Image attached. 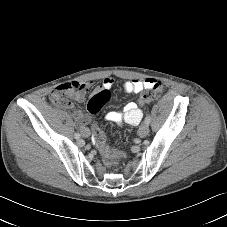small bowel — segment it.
<instances>
[{"mask_svg":"<svg viewBox=\"0 0 227 227\" xmlns=\"http://www.w3.org/2000/svg\"><path fill=\"white\" fill-rule=\"evenodd\" d=\"M152 80L153 79H146V80L142 81V80L134 79V80L125 81L123 84V90L129 94L130 93H135V94L139 93L144 89H148L151 86ZM72 84L76 85L77 88L75 90L67 91L64 96H62L60 98H55V93L57 92V90L59 88H61L63 86H67V85H72ZM113 84H114V80L112 78H105L103 80L102 86L99 89V91H101L103 89L108 90L113 86ZM91 86H92L91 82L67 83V84L57 87L55 90L52 91V93L50 95L52 101L57 106H59L63 109L73 110L74 118L77 120V122L80 126V130L83 135L86 130L89 131V129L86 127V124L89 121V117L84 115L82 113V111H80L79 109H76L74 103L71 102L65 96L71 97L79 102L83 101L86 96V93L91 88ZM140 105H143V101H141V100L139 101V103H135V102L127 103L124 106V109L122 111H111L106 114L104 119L108 122H114V123H118V124L127 123L129 125H138L143 117V113H142L141 109L139 108ZM95 141L97 142V146H98V141L96 139H94V142ZM105 144H106V141H105ZM98 148H99V146H98Z\"/></svg>","mask_w":227,"mask_h":227,"instance_id":"c3829d8e","label":"small bowel"}]
</instances>
